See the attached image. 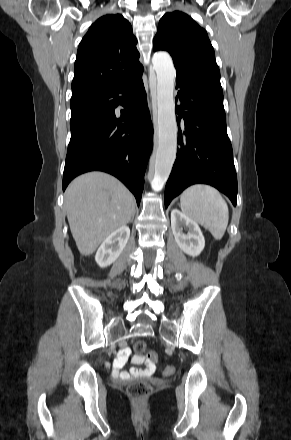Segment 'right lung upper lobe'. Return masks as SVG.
Wrapping results in <instances>:
<instances>
[{
  "label": "right lung upper lobe",
  "instance_id": "1",
  "mask_svg": "<svg viewBox=\"0 0 291 440\" xmlns=\"http://www.w3.org/2000/svg\"><path fill=\"white\" fill-rule=\"evenodd\" d=\"M131 24L121 14L99 18L79 44L72 96L114 88L143 72Z\"/></svg>",
  "mask_w": 291,
  "mask_h": 440
}]
</instances>
